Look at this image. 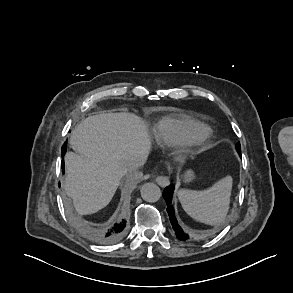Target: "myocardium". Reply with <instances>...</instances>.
<instances>
[{
  "label": "myocardium",
  "instance_id": "myocardium-1",
  "mask_svg": "<svg viewBox=\"0 0 293 293\" xmlns=\"http://www.w3.org/2000/svg\"><path fill=\"white\" fill-rule=\"evenodd\" d=\"M211 134L212 131L207 125L199 124L195 126L190 131L187 139L184 142L178 144L181 146L174 153V158L179 161L186 159L190 153L204 145L210 139Z\"/></svg>",
  "mask_w": 293,
  "mask_h": 293
}]
</instances>
